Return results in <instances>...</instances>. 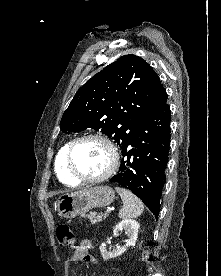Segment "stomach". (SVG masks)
Here are the masks:
<instances>
[{"mask_svg": "<svg viewBox=\"0 0 221 276\" xmlns=\"http://www.w3.org/2000/svg\"><path fill=\"white\" fill-rule=\"evenodd\" d=\"M115 199L111 187L95 186L61 196L57 201V211L61 217L75 218L84 215L94 207H105Z\"/></svg>", "mask_w": 221, "mask_h": 276, "instance_id": "obj_1", "label": "stomach"}]
</instances>
